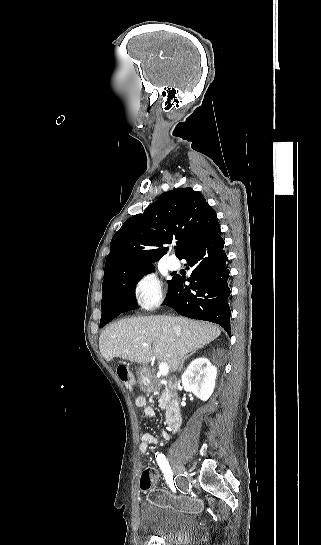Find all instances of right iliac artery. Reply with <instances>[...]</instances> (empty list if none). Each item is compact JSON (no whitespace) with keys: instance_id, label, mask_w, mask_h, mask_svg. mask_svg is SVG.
Segmentation results:
<instances>
[{"instance_id":"1","label":"right iliac artery","mask_w":321,"mask_h":545,"mask_svg":"<svg viewBox=\"0 0 321 545\" xmlns=\"http://www.w3.org/2000/svg\"><path fill=\"white\" fill-rule=\"evenodd\" d=\"M155 457H156V460H157V463H158L160 469L164 473V476H165V479H166V482H167L168 486L173 491H175L172 469H171L165 455L162 454V453L156 452Z\"/></svg>"}]
</instances>
